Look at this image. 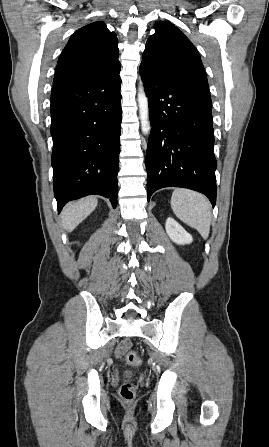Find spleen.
<instances>
[{"label": "spleen", "mask_w": 269, "mask_h": 447, "mask_svg": "<svg viewBox=\"0 0 269 447\" xmlns=\"http://www.w3.org/2000/svg\"><path fill=\"white\" fill-rule=\"evenodd\" d=\"M171 208L179 220L195 227L202 237L207 239L211 224V206L205 196L192 190L176 188L171 196Z\"/></svg>", "instance_id": "3e777b00"}]
</instances>
